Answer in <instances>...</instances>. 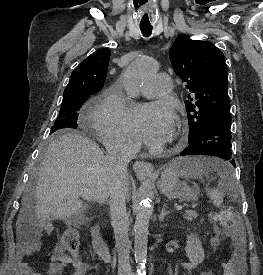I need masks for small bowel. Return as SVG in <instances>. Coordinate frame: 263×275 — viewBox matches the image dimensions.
Listing matches in <instances>:
<instances>
[{
	"label": "small bowel",
	"mask_w": 263,
	"mask_h": 275,
	"mask_svg": "<svg viewBox=\"0 0 263 275\" xmlns=\"http://www.w3.org/2000/svg\"><path fill=\"white\" fill-rule=\"evenodd\" d=\"M50 232V230H47ZM219 242V236L217 229H213V236L211 238V244L213 246L217 245ZM40 246L38 237H33L30 242L22 247L23 260L19 263V268L21 275H41L39 272L30 268L28 262L24 259L29 256L33 251L37 250ZM72 264L75 267V272L72 275H85L87 270V265L84 263H74L72 258L64 254V249L62 246H56L51 253V263L48 270V275L60 274L63 269ZM210 275H215L210 272Z\"/></svg>",
	"instance_id": "c3829d8e"
}]
</instances>
